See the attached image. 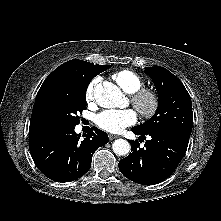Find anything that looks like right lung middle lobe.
Segmentation results:
<instances>
[{"label": "right lung middle lobe", "instance_id": "obj_1", "mask_svg": "<svg viewBox=\"0 0 221 221\" xmlns=\"http://www.w3.org/2000/svg\"><path fill=\"white\" fill-rule=\"evenodd\" d=\"M104 65L94 76L107 70ZM89 81L69 80L50 87L38 103L33 116L34 128L48 131L74 127L80 123L77 114L86 109V89Z\"/></svg>", "mask_w": 221, "mask_h": 221}]
</instances>
